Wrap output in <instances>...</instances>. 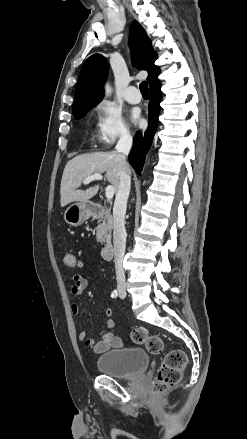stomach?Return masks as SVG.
<instances>
[{"mask_svg":"<svg viewBox=\"0 0 247 439\" xmlns=\"http://www.w3.org/2000/svg\"><path fill=\"white\" fill-rule=\"evenodd\" d=\"M90 215L86 202H79L69 206L64 213V220L72 225H81Z\"/></svg>","mask_w":247,"mask_h":439,"instance_id":"1","label":"stomach"}]
</instances>
